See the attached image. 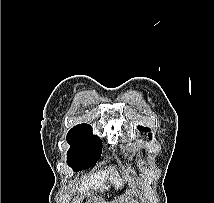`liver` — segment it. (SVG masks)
I'll return each mask as SVG.
<instances>
[{
  "label": "liver",
  "instance_id": "6515ba94",
  "mask_svg": "<svg viewBox=\"0 0 214 203\" xmlns=\"http://www.w3.org/2000/svg\"><path fill=\"white\" fill-rule=\"evenodd\" d=\"M123 178L120 177L119 173L114 170V167H109L106 171H100L98 173L91 174L85 182L79 187L78 191L82 194L83 192H89V189L98 190L101 192L103 190H108L110 185L106 186L107 180L110 181L111 184L115 186V189H119V187L123 186V182H131V178L129 176L128 171L124 170Z\"/></svg>",
  "mask_w": 214,
  "mask_h": 203
}]
</instances>
